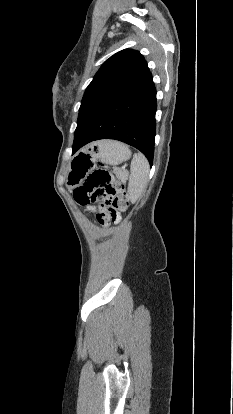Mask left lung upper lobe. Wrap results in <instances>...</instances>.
<instances>
[{"label": "left lung upper lobe", "instance_id": "5c2ea615", "mask_svg": "<svg viewBox=\"0 0 233 414\" xmlns=\"http://www.w3.org/2000/svg\"><path fill=\"white\" fill-rule=\"evenodd\" d=\"M148 72L147 63L138 51L117 52L103 63L87 87L79 114L93 102L126 89Z\"/></svg>", "mask_w": 233, "mask_h": 414}]
</instances>
